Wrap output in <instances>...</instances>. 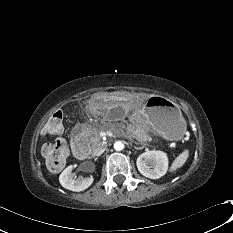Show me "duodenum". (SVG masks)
Returning a JSON list of instances; mask_svg holds the SVG:
<instances>
[{
  "mask_svg": "<svg viewBox=\"0 0 233 233\" xmlns=\"http://www.w3.org/2000/svg\"><path fill=\"white\" fill-rule=\"evenodd\" d=\"M72 149L74 151V154L80 159H85L88 156L85 145L80 141L73 140Z\"/></svg>",
  "mask_w": 233,
  "mask_h": 233,
  "instance_id": "1",
  "label": "duodenum"
}]
</instances>
